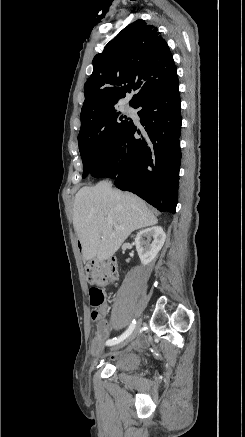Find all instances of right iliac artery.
Segmentation results:
<instances>
[{"mask_svg": "<svg viewBox=\"0 0 245 437\" xmlns=\"http://www.w3.org/2000/svg\"><path fill=\"white\" fill-rule=\"evenodd\" d=\"M135 324H136V320L134 319L132 321V323L130 324V326L128 327V329L122 335H120L118 338L109 339L106 342V345L112 346V345L118 344L121 341H123L124 339H126L133 332V330L135 328Z\"/></svg>", "mask_w": 245, "mask_h": 437, "instance_id": "1", "label": "right iliac artery"}]
</instances>
